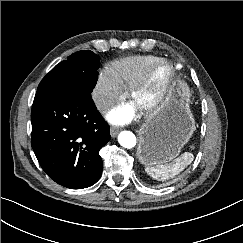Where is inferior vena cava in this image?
Masks as SVG:
<instances>
[{
    "mask_svg": "<svg viewBox=\"0 0 243 243\" xmlns=\"http://www.w3.org/2000/svg\"><path fill=\"white\" fill-rule=\"evenodd\" d=\"M94 101L97 108L101 111L107 110L112 106V101L104 96L95 95Z\"/></svg>",
    "mask_w": 243,
    "mask_h": 243,
    "instance_id": "1",
    "label": "inferior vena cava"
}]
</instances>
